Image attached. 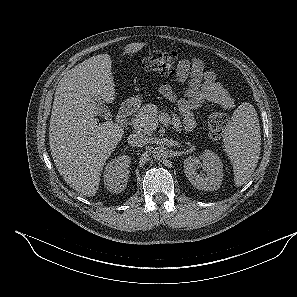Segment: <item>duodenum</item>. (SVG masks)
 <instances>
[{
    "instance_id": "1",
    "label": "duodenum",
    "mask_w": 297,
    "mask_h": 297,
    "mask_svg": "<svg viewBox=\"0 0 297 297\" xmlns=\"http://www.w3.org/2000/svg\"><path fill=\"white\" fill-rule=\"evenodd\" d=\"M137 109V102L135 100H130L124 102L118 111L117 122L120 126H124L128 117H130Z\"/></svg>"
}]
</instances>
